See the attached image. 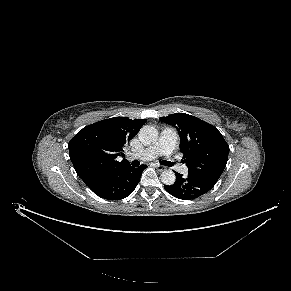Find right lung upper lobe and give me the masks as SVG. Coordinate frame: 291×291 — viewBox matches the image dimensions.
<instances>
[{"label":"right lung upper lobe","mask_w":291,"mask_h":291,"mask_svg":"<svg viewBox=\"0 0 291 291\" xmlns=\"http://www.w3.org/2000/svg\"><path fill=\"white\" fill-rule=\"evenodd\" d=\"M146 119L131 120L114 117L88 125L69 142V156L76 173L82 180L102 171L129 166L123 159V149L139 132Z\"/></svg>","instance_id":"1"}]
</instances>
